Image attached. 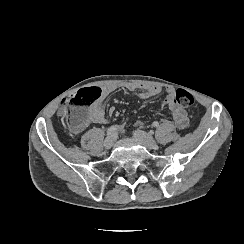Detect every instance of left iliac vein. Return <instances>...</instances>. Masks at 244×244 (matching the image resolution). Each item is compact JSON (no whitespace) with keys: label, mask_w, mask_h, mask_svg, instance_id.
I'll return each mask as SVG.
<instances>
[{"label":"left iliac vein","mask_w":244,"mask_h":244,"mask_svg":"<svg viewBox=\"0 0 244 244\" xmlns=\"http://www.w3.org/2000/svg\"><path fill=\"white\" fill-rule=\"evenodd\" d=\"M133 137L148 149H155L157 147V143L154 138L142 130L134 131Z\"/></svg>","instance_id":"obj_1"}]
</instances>
